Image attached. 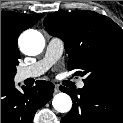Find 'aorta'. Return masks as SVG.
I'll use <instances>...</instances> for the list:
<instances>
[{
    "mask_svg": "<svg viewBox=\"0 0 123 123\" xmlns=\"http://www.w3.org/2000/svg\"><path fill=\"white\" fill-rule=\"evenodd\" d=\"M44 44L43 35L36 30H28L20 37V47L26 55H38L42 52ZM52 105L56 111L66 113L72 108V100L66 93H58L54 96Z\"/></svg>",
    "mask_w": 123,
    "mask_h": 123,
    "instance_id": "1",
    "label": "aorta"
}]
</instances>
